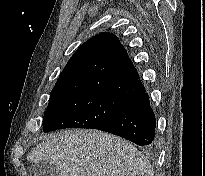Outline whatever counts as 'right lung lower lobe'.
Wrapping results in <instances>:
<instances>
[{
    "mask_svg": "<svg viewBox=\"0 0 205 176\" xmlns=\"http://www.w3.org/2000/svg\"><path fill=\"white\" fill-rule=\"evenodd\" d=\"M156 119L145 90L128 99L123 108L98 130L106 131L140 146L154 148Z\"/></svg>",
    "mask_w": 205,
    "mask_h": 176,
    "instance_id": "1",
    "label": "right lung lower lobe"
}]
</instances>
